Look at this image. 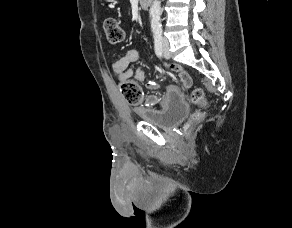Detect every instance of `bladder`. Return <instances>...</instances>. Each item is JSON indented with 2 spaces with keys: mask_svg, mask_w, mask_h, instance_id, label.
Returning <instances> with one entry per match:
<instances>
[{
  "mask_svg": "<svg viewBox=\"0 0 292 228\" xmlns=\"http://www.w3.org/2000/svg\"><path fill=\"white\" fill-rule=\"evenodd\" d=\"M189 110L188 103L182 101L163 114L144 115L142 120L160 128H170L182 120L189 113Z\"/></svg>",
  "mask_w": 292,
  "mask_h": 228,
  "instance_id": "bladder-1",
  "label": "bladder"
}]
</instances>
